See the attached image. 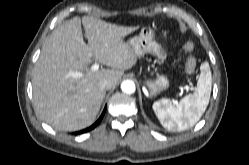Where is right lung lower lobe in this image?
I'll return each mask as SVG.
<instances>
[{"instance_id":"1","label":"right lung lower lobe","mask_w":249,"mask_h":165,"mask_svg":"<svg viewBox=\"0 0 249 165\" xmlns=\"http://www.w3.org/2000/svg\"><path fill=\"white\" fill-rule=\"evenodd\" d=\"M105 111H106V108L104 109V111L101 114L100 118L92 126H90L89 128H86V129L80 131L79 133H85V132H88V131L94 129L100 123V121L102 120V118H103V116L105 114Z\"/></svg>"}]
</instances>
